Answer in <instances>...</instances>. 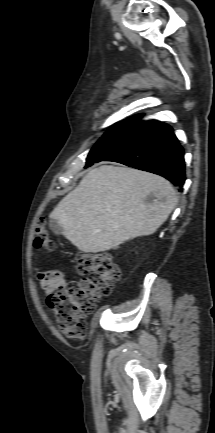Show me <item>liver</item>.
<instances>
[{
  "mask_svg": "<svg viewBox=\"0 0 215 433\" xmlns=\"http://www.w3.org/2000/svg\"><path fill=\"white\" fill-rule=\"evenodd\" d=\"M176 203L175 190L165 178L129 167L102 165L89 171L49 217L80 251L98 253L153 234Z\"/></svg>",
  "mask_w": 215,
  "mask_h": 433,
  "instance_id": "obj_1",
  "label": "liver"
}]
</instances>
